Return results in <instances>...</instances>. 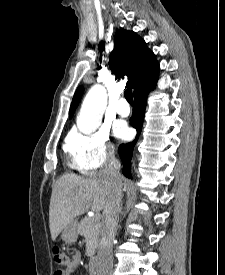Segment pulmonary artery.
Wrapping results in <instances>:
<instances>
[{"mask_svg": "<svg viewBox=\"0 0 225 275\" xmlns=\"http://www.w3.org/2000/svg\"><path fill=\"white\" fill-rule=\"evenodd\" d=\"M116 114L120 117H127L130 114V108L125 99H120L118 101Z\"/></svg>", "mask_w": 225, "mask_h": 275, "instance_id": "1", "label": "pulmonary artery"}]
</instances>
